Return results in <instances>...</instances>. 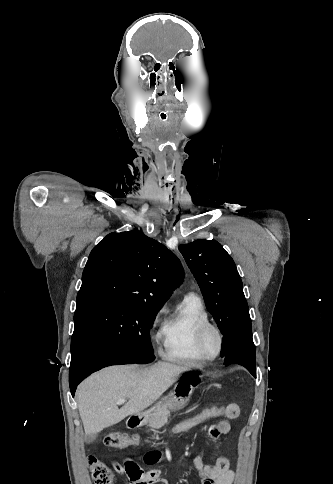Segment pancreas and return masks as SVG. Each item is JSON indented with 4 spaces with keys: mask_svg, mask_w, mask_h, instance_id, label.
<instances>
[{
    "mask_svg": "<svg viewBox=\"0 0 333 484\" xmlns=\"http://www.w3.org/2000/svg\"><path fill=\"white\" fill-rule=\"evenodd\" d=\"M173 409L174 408L172 406H169L166 409L154 413L148 419V426L154 433H157L158 429H160L167 423L168 418L170 417V412L173 411Z\"/></svg>",
    "mask_w": 333,
    "mask_h": 484,
    "instance_id": "cf45deb5",
    "label": "pancreas"
}]
</instances>
